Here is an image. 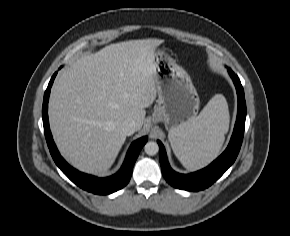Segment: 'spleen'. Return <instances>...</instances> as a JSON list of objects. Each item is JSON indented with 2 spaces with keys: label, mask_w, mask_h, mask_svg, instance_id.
Returning <instances> with one entry per match:
<instances>
[{
  "label": "spleen",
  "mask_w": 290,
  "mask_h": 236,
  "mask_svg": "<svg viewBox=\"0 0 290 236\" xmlns=\"http://www.w3.org/2000/svg\"><path fill=\"white\" fill-rule=\"evenodd\" d=\"M229 127L226 99L217 94L200 114L168 134L173 152L187 169L210 163L220 152Z\"/></svg>",
  "instance_id": "1"
}]
</instances>
